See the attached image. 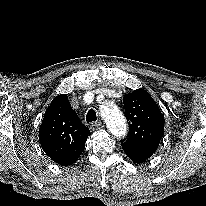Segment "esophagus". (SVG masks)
I'll return each instance as SVG.
<instances>
[{"instance_id": "esophagus-1", "label": "esophagus", "mask_w": 206, "mask_h": 206, "mask_svg": "<svg viewBox=\"0 0 206 206\" xmlns=\"http://www.w3.org/2000/svg\"><path fill=\"white\" fill-rule=\"evenodd\" d=\"M101 126H102V122L99 120L96 122H92L90 125V128H91V130L95 131V130L99 129Z\"/></svg>"}]
</instances>
